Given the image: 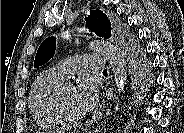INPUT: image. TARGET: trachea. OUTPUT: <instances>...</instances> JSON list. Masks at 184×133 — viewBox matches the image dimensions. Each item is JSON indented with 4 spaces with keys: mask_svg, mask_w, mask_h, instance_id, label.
I'll return each mask as SVG.
<instances>
[{
    "mask_svg": "<svg viewBox=\"0 0 184 133\" xmlns=\"http://www.w3.org/2000/svg\"><path fill=\"white\" fill-rule=\"evenodd\" d=\"M103 72H107V69H104Z\"/></svg>",
    "mask_w": 184,
    "mask_h": 133,
    "instance_id": "trachea-1",
    "label": "trachea"
}]
</instances>
